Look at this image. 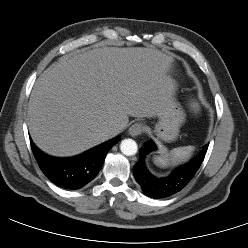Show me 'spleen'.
Masks as SVG:
<instances>
[{"instance_id": "1", "label": "spleen", "mask_w": 248, "mask_h": 248, "mask_svg": "<svg viewBox=\"0 0 248 248\" xmlns=\"http://www.w3.org/2000/svg\"><path fill=\"white\" fill-rule=\"evenodd\" d=\"M194 150L193 146H183L171 150L169 153H164L154 157V162L160 167H167L179 162L186 161Z\"/></svg>"}]
</instances>
